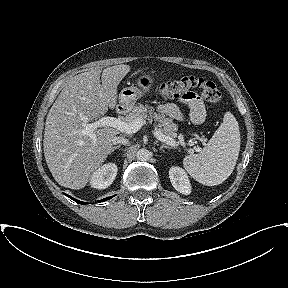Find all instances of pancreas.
<instances>
[{
    "instance_id": "1",
    "label": "pancreas",
    "mask_w": 288,
    "mask_h": 288,
    "mask_svg": "<svg viewBox=\"0 0 288 288\" xmlns=\"http://www.w3.org/2000/svg\"><path fill=\"white\" fill-rule=\"evenodd\" d=\"M141 118L154 120L158 122V130L168 137H176L178 125L173 123L172 119L166 118L163 114H157L152 107L144 106L142 104L135 106L131 112L125 117V122H132L133 120Z\"/></svg>"
}]
</instances>
